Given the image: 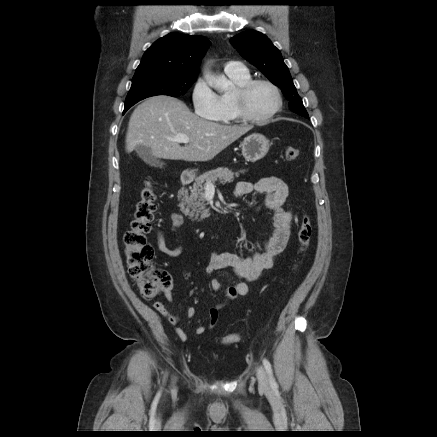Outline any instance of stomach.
<instances>
[{
    "instance_id": "obj_1",
    "label": "stomach",
    "mask_w": 437,
    "mask_h": 437,
    "mask_svg": "<svg viewBox=\"0 0 437 437\" xmlns=\"http://www.w3.org/2000/svg\"><path fill=\"white\" fill-rule=\"evenodd\" d=\"M242 155L245 160L255 162L262 159L269 151V140L262 134L254 133L241 142Z\"/></svg>"
}]
</instances>
